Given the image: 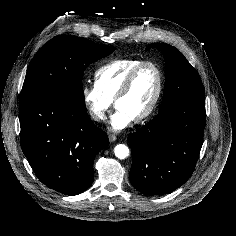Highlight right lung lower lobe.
<instances>
[{
  "mask_svg": "<svg viewBox=\"0 0 236 236\" xmlns=\"http://www.w3.org/2000/svg\"><path fill=\"white\" fill-rule=\"evenodd\" d=\"M19 120L21 148L43 184L70 196L91 185L93 161L108 137L88 117L83 102L31 96L20 101Z\"/></svg>",
  "mask_w": 236,
  "mask_h": 236,
  "instance_id": "1",
  "label": "right lung lower lobe"
}]
</instances>
